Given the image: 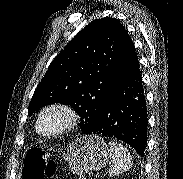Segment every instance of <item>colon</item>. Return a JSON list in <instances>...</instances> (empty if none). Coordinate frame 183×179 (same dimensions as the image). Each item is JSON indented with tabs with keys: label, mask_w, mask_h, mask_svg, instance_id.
<instances>
[{
	"label": "colon",
	"mask_w": 183,
	"mask_h": 179,
	"mask_svg": "<svg viewBox=\"0 0 183 179\" xmlns=\"http://www.w3.org/2000/svg\"><path fill=\"white\" fill-rule=\"evenodd\" d=\"M55 168L53 160L39 148L30 149L24 160L22 179H47Z\"/></svg>",
	"instance_id": "colon-1"
}]
</instances>
